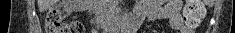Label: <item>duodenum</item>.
<instances>
[{
	"mask_svg": "<svg viewBox=\"0 0 235 33\" xmlns=\"http://www.w3.org/2000/svg\"><path fill=\"white\" fill-rule=\"evenodd\" d=\"M84 3L87 5V7H90L91 1H84ZM142 21L143 17L141 15L134 14L127 20V22L125 21L109 22L105 24L104 27L106 28L107 31H110L111 33H119L121 29L125 25H127L128 29L133 32L140 26ZM95 33L97 32L95 31Z\"/></svg>",
	"mask_w": 235,
	"mask_h": 33,
	"instance_id": "1",
	"label": "duodenum"
}]
</instances>
